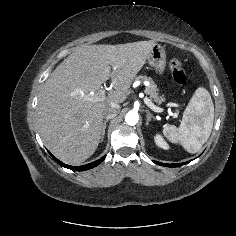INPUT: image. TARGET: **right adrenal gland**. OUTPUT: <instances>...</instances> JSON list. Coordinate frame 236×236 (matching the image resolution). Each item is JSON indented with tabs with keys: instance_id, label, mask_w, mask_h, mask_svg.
<instances>
[{
	"instance_id": "right-adrenal-gland-1",
	"label": "right adrenal gland",
	"mask_w": 236,
	"mask_h": 236,
	"mask_svg": "<svg viewBox=\"0 0 236 236\" xmlns=\"http://www.w3.org/2000/svg\"><path fill=\"white\" fill-rule=\"evenodd\" d=\"M108 121H109V119H106V120L103 122L101 140L104 139L106 124H107Z\"/></svg>"
}]
</instances>
